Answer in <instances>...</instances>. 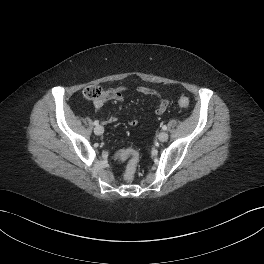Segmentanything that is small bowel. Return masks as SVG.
I'll return each instance as SVG.
<instances>
[{
  "label": "small bowel",
  "mask_w": 264,
  "mask_h": 264,
  "mask_svg": "<svg viewBox=\"0 0 264 264\" xmlns=\"http://www.w3.org/2000/svg\"><path fill=\"white\" fill-rule=\"evenodd\" d=\"M128 89H129V87L126 85H120L117 87L106 89L104 91V95L102 98L93 101L94 108L96 110H100L104 106V104L108 101L122 102L124 100V92L127 91ZM135 91L142 94V95H146V96H150V97H154V98L158 99V103H157V106L155 108V113L158 115L163 114L169 106V101L167 99H165L162 96V94L160 92H158L157 90H154L152 88L145 87V86H137L135 88ZM115 121H116V117L112 115L107 119L106 122L107 123H113ZM130 124H131V126H136L137 122L135 120H132L130 122ZM119 152L116 153L115 158L117 160H123L122 158H120Z\"/></svg>",
  "instance_id": "1"
}]
</instances>
